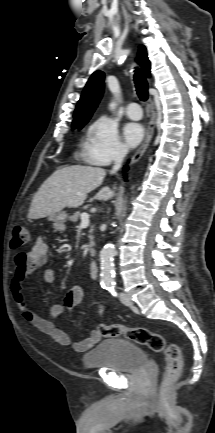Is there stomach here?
Wrapping results in <instances>:
<instances>
[{
    "instance_id": "1",
    "label": "stomach",
    "mask_w": 215,
    "mask_h": 433,
    "mask_svg": "<svg viewBox=\"0 0 215 433\" xmlns=\"http://www.w3.org/2000/svg\"><path fill=\"white\" fill-rule=\"evenodd\" d=\"M66 219H67L66 212H59L51 216V220L60 224H63L66 221Z\"/></svg>"
}]
</instances>
